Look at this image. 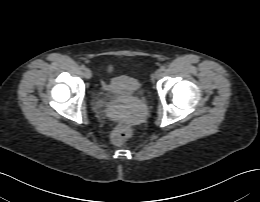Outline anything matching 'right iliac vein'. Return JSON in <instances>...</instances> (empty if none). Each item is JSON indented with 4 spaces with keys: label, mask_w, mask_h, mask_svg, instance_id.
Instances as JSON below:
<instances>
[{
    "label": "right iliac vein",
    "mask_w": 260,
    "mask_h": 202,
    "mask_svg": "<svg viewBox=\"0 0 260 202\" xmlns=\"http://www.w3.org/2000/svg\"><path fill=\"white\" fill-rule=\"evenodd\" d=\"M84 76L86 79H90L92 76L91 70L88 68L84 69Z\"/></svg>",
    "instance_id": "63e3f726"
}]
</instances>
